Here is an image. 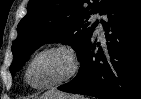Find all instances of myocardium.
I'll return each instance as SVG.
<instances>
[{
    "label": "myocardium",
    "mask_w": 141,
    "mask_h": 99,
    "mask_svg": "<svg viewBox=\"0 0 141 99\" xmlns=\"http://www.w3.org/2000/svg\"><path fill=\"white\" fill-rule=\"evenodd\" d=\"M51 51H62L64 53H66L71 61V70L69 71V73L64 76L63 78L54 81L52 83L49 84H45V85H34L31 80H30V70L34 64V62L43 54L47 53V52H51ZM80 70V58L78 56V53L76 52V50L68 44H54V45H50L47 46L43 49H41L40 51H38L29 61L26 71H25V79L27 81V83L33 87L34 89H38V90H44V89H50L53 87H57L60 86L64 83L69 82L70 80H72L79 72Z\"/></svg>",
    "instance_id": "1"
}]
</instances>
